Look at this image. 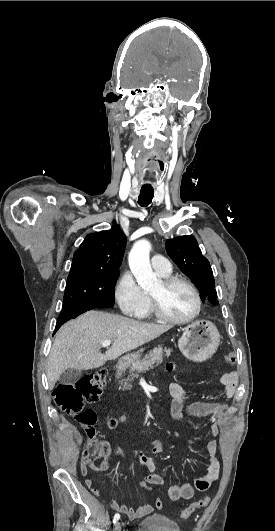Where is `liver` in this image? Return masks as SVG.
I'll return each instance as SVG.
<instances>
[{
    "mask_svg": "<svg viewBox=\"0 0 275 531\" xmlns=\"http://www.w3.org/2000/svg\"><path fill=\"white\" fill-rule=\"evenodd\" d=\"M170 325L141 323L103 311H87L59 329L47 363L49 389L66 369H98L123 353L157 339ZM103 341H113L111 349L101 353Z\"/></svg>",
    "mask_w": 275,
    "mask_h": 531,
    "instance_id": "obj_1",
    "label": "liver"
}]
</instances>
